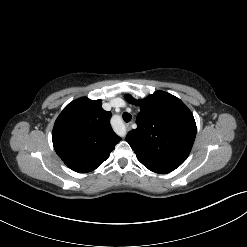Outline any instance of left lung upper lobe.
Returning a JSON list of instances; mask_svg holds the SVG:
<instances>
[{
  "label": "left lung upper lobe",
  "instance_id": "left-lung-upper-lobe-1",
  "mask_svg": "<svg viewBox=\"0 0 247 247\" xmlns=\"http://www.w3.org/2000/svg\"><path fill=\"white\" fill-rule=\"evenodd\" d=\"M129 103L140 105L137 128L126 137L138 160L156 173H169L188 157L196 136V123L191 111L177 97L157 91L137 101L125 96Z\"/></svg>",
  "mask_w": 247,
  "mask_h": 247
}]
</instances>
